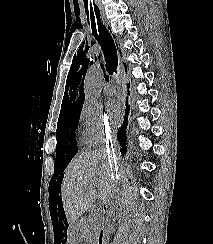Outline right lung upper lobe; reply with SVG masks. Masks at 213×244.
Returning a JSON list of instances; mask_svg holds the SVG:
<instances>
[{"label": "right lung upper lobe", "instance_id": "1", "mask_svg": "<svg viewBox=\"0 0 213 244\" xmlns=\"http://www.w3.org/2000/svg\"><path fill=\"white\" fill-rule=\"evenodd\" d=\"M88 61L83 58L78 59L77 64L72 65L68 77H67V88L63 97L61 112H65L71 109H75L83 106L84 102V91H83V79L81 82L82 75L86 74ZM81 67V68H80ZM70 83V89H69Z\"/></svg>", "mask_w": 213, "mask_h": 244}]
</instances>
